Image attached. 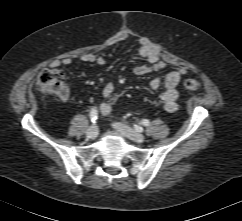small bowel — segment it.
<instances>
[{"label":"small bowel","mask_w":242,"mask_h":221,"mask_svg":"<svg viewBox=\"0 0 242 221\" xmlns=\"http://www.w3.org/2000/svg\"><path fill=\"white\" fill-rule=\"evenodd\" d=\"M126 38L122 35L118 38V41H122ZM140 55L148 61V65H137L134 67L133 72L135 75L143 76L152 72L160 71L166 68L167 63L163 60L159 53L152 47L146 40H141L139 47ZM83 63H95L97 65H104L105 59L101 56H97L93 53H85L80 57ZM73 60L69 57L63 58L61 60H54L51 63L52 68H58L60 66H69ZM186 73L184 67H177L168 70L163 78L155 77L150 81V88L152 90L159 89L162 85L164 87L162 93L159 97V103L161 107L169 112L173 113L178 109L177 100L179 93L177 86L181 77ZM115 92V85L112 82H108L104 85L102 90V95L106 99L99 106L100 112L107 116L112 113V105L109 101ZM67 99V95L62 98Z\"/></svg>","instance_id":"c3829d8e"}]
</instances>
